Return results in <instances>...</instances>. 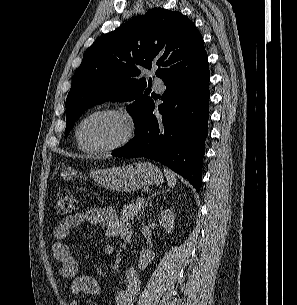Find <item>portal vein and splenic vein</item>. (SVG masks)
Masks as SVG:
<instances>
[{"instance_id":"portal-vein-and-splenic-vein-1","label":"portal vein and splenic vein","mask_w":297,"mask_h":305,"mask_svg":"<svg viewBox=\"0 0 297 305\" xmlns=\"http://www.w3.org/2000/svg\"><path fill=\"white\" fill-rule=\"evenodd\" d=\"M143 202H144V200L141 199V200L138 202V204H142Z\"/></svg>"}]
</instances>
